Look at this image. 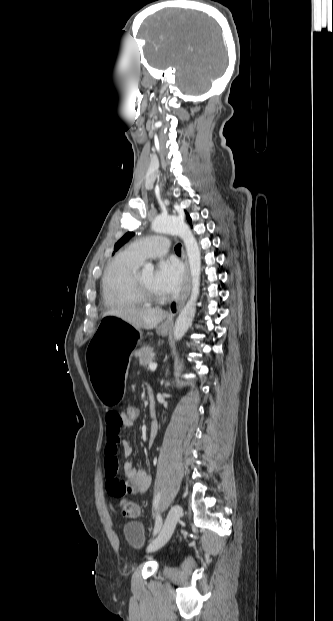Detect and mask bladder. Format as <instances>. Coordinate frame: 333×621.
<instances>
[{"mask_svg": "<svg viewBox=\"0 0 333 621\" xmlns=\"http://www.w3.org/2000/svg\"><path fill=\"white\" fill-rule=\"evenodd\" d=\"M123 536L126 544L130 548L141 553L144 552L147 538L145 534V528L141 522H127L123 527Z\"/></svg>", "mask_w": 333, "mask_h": 621, "instance_id": "31cf9c89", "label": "bladder"}]
</instances>
